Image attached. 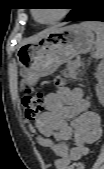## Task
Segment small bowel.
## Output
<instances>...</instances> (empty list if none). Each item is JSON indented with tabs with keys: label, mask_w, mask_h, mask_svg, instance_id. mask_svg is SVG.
<instances>
[{
	"label": "small bowel",
	"mask_w": 104,
	"mask_h": 169,
	"mask_svg": "<svg viewBox=\"0 0 104 169\" xmlns=\"http://www.w3.org/2000/svg\"><path fill=\"white\" fill-rule=\"evenodd\" d=\"M45 112L36 120L39 144L56 156V169H67L71 161L84 158L89 145L102 133L100 116L90 110V102L79 88L62 87L44 97ZM73 139L74 146L67 141Z\"/></svg>",
	"instance_id": "1"
}]
</instances>
